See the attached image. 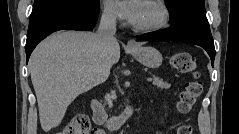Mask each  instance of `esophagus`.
Masks as SVG:
<instances>
[{"label": "esophagus", "mask_w": 239, "mask_h": 134, "mask_svg": "<svg viewBox=\"0 0 239 134\" xmlns=\"http://www.w3.org/2000/svg\"><path fill=\"white\" fill-rule=\"evenodd\" d=\"M127 47L129 48H135L137 47V43L134 39H130L128 42H127Z\"/></svg>", "instance_id": "esophagus-1"}]
</instances>
